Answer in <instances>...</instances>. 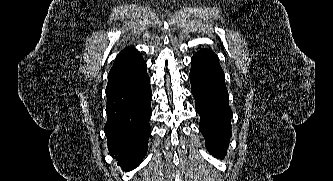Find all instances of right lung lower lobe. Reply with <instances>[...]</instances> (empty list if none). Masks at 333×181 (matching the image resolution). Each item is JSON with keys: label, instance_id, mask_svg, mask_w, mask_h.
<instances>
[{"label": "right lung lower lobe", "instance_id": "obj_1", "mask_svg": "<svg viewBox=\"0 0 333 181\" xmlns=\"http://www.w3.org/2000/svg\"><path fill=\"white\" fill-rule=\"evenodd\" d=\"M107 122L104 127L109 153L123 170L137 167L147 152L151 130L152 98L147 73L135 81L107 92Z\"/></svg>", "mask_w": 333, "mask_h": 181}]
</instances>
